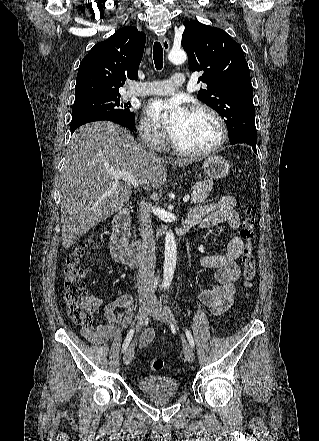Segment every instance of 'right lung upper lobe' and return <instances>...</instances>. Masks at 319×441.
Returning <instances> with one entry per match:
<instances>
[{
  "label": "right lung upper lobe",
  "instance_id": "right-lung-upper-lobe-1",
  "mask_svg": "<svg viewBox=\"0 0 319 441\" xmlns=\"http://www.w3.org/2000/svg\"><path fill=\"white\" fill-rule=\"evenodd\" d=\"M146 36L136 27L118 29L83 58L77 73L75 100L118 96L126 79H138Z\"/></svg>",
  "mask_w": 319,
  "mask_h": 441
}]
</instances>
